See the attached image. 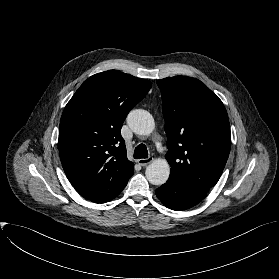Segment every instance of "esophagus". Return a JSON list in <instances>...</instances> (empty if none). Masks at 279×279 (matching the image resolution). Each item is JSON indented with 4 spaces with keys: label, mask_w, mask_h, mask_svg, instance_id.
Listing matches in <instances>:
<instances>
[{
    "label": "esophagus",
    "mask_w": 279,
    "mask_h": 279,
    "mask_svg": "<svg viewBox=\"0 0 279 279\" xmlns=\"http://www.w3.org/2000/svg\"><path fill=\"white\" fill-rule=\"evenodd\" d=\"M137 162L141 166H147L148 164L153 162V157H148V158H145V159H139Z\"/></svg>",
    "instance_id": "1"
}]
</instances>
